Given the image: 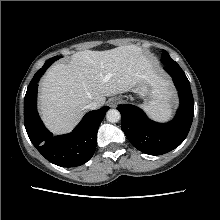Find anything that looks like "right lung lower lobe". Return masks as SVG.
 I'll return each mask as SVG.
<instances>
[{
  "mask_svg": "<svg viewBox=\"0 0 220 220\" xmlns=\"http://www.w3.org/2000/svg\"><path fill=\"white\" fill-rule=\"evenodd\" d=\"M54 61V57L47 60L28 86L24 99V124L32 144L48 161L61 167H76L93 156L97 131L109 107L87 113L71 133L53 136L37 113V82Z\"/></svg>",
  "mask_w": 220,
  "mask_h": 220,
  "instance_id": "1",
  "label": "right lung lower lobe"
}]
</instances>
